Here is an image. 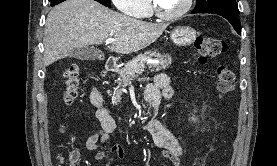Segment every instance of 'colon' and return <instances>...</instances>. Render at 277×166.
Segmentation results:
<instances>
[{
	"label": "colon",
	"mask_w": 277,
	"mask_h": 166,
	"mask_svg": "<svg viewBox=\"0 0 277 166\" xmlns=\"http://www.w3.org/2000/svg\"><path fill=\"white\" fill-rule=\"evenodd\" d=\"M227 50V43L216 37L200 36L194 42V56L201 64L206 63L209 58L223 54ZM65 91L64 102L67 105L73 103L77 97L79 87V68L75 64L69 65L64 72ZM216 90L220 96L230 93L235 85L234 73L226 66H219L215 74ZM78 153L75 150L69 151L62 158V162L68 166H77Z\"/></svg>",
	"instance_id": "1"
}]
</instances>
